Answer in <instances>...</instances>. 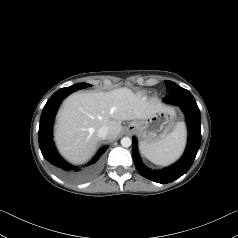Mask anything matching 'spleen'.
<instances>
[{
  "label": "spleen",
  "mask_w": 238,
  "mask_h": 238,
  "mask_svg": "<svg viewBox=\"0 0 238 238\" xmlns=\"http://www.w3.org/2000/svg\"><path fill=\"white\" fill-rule=\"evenodd\" d=\"M186 143V128L183 122H179L164 139L141 146L142 153L157 165H168L177 160L182 154Z\"/></svg>",
  "instance_id": "obj_1"
}]
</instances>
